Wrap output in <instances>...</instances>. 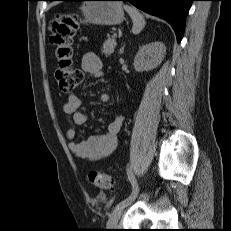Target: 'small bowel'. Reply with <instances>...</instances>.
Returning a JSON list of instances; mask_svg holds the SVG:
<instances>
[{
    "mask_svg": "<svg viewBox=\"0 0 231 231\" xmlns=\"http://www.w3.org/2000/svg\"><path fill=\"white\" fill-rule=\"evenodd\" d=\"M81 65L86 73L99 76L103 71L101 59L94 53H86L82 57ZM102 103H109L111 96L107 92L100 94ZM82 101L76 94L68 95L63 112L67 115L69 126L66 137L69 140L68 147L71 153L80 160L95 162L111 156L119 144L118 134L122 128L124 117L119 116L112 121L103 135H93L85 140L76 141L77 126L84 124L87 120L86 114L81 110Z\"/></svg>",
    "mask_w": 231,
    "mask_h": 231,
    "instance_id": "small-bowel-1",
    "label": "small bowel"
}]
</instances>
